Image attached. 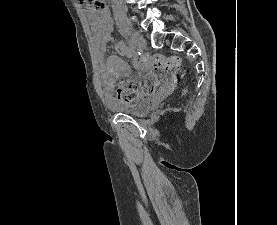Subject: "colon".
I'll use <instances>...</instances> for the list:
<instances>
[{
    "label": "colon",
    "mask_w": 277,
    "mask_h": 225,
    "mask_svg": "<svg viewBox=\"0 0 277 225\" xmlns=\"http://www.w3.org/2000/svg\"><path fill=\"white\" fill-rule=\"evenodd\" d=\"M90 10L99 12L104 8L102 0H78ZM141 65H151L155 73L149 74L138 84H127L117 90V98L121 102L132 104L143 96L153 95L159 91L163 83L164 73H176L180 69L181 60L178 56L165 57L153 55L144 57Z\"/></svg>",
    "instance_id": "colon-1"
}]
</instances>
